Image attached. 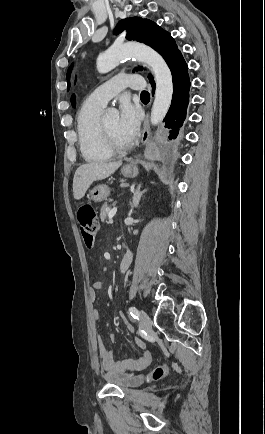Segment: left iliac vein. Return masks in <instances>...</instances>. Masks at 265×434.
<instances>
[{
  "instance_id": "obj_1",
  "label": "left iliac vein",
  "mask_w": 265,
  "mask_h": 434,
  "mask_svg": "<svg viewBox=\"0 0 265 434\" xmlns=\"http://www.w3.org/2000/svg\"><path fill=\"white\" fill-rule=\"evenodd\" d=\"M139 319H140V323H141L142 328L145 331H148L151 328V320H150L148 314L144 311H141L140 315H139Z\"/></svg>"
}]
</instances>
